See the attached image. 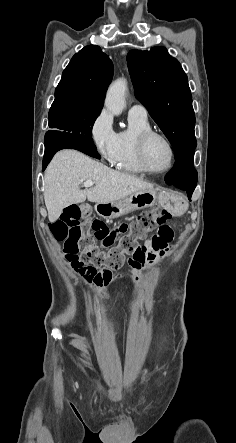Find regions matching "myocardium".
<instances>
[{
    "label": "myocardium",
    "instance_id": "f54148a6",
    "mask_svg": "<svg viewBox=\"0 0 236 443\" xmlns=\"http://www.w3.org/2000/svg\"><path fill=\"white\" fill-rule=\"evenodd\" d=\"M153 137H159V138L163 139L166 142V144L168 145L169 150H170V161H169L168 166L162 170H159V171L151 169L150 166L148 165L147 159H146V147H147L149 140ZM135 150H136L137 162H138L140 168L145 173H148L151 175L165 174L172 169V167L175 163L176 154H175V148H174L172 141L170 140V138L166 134H164L163 132H160L158 130L147 129V130H144L141 133H139L136 138Z\"/></svg>",
    "mask_w": 236,
    "mask_h": 443
}]
</instances>
